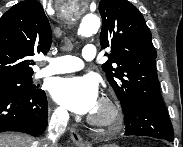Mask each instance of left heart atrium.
Returning a JSON list of instances; mask_svg holds the SVG:
<instances>
[{"label":"left heart atrium","instance_id":"obj_1","mask_svg":"<svg viewBox=\"0 0 183 147\" xmlns=\"http://www.w3.org/2000/svg\"><path fill=\"white\" fill-rule=\"evenodd\" d=\"M51 95L58 104L72 112L91 113L98 105V84L89 76L58 78L52 83Z\"/></svg>","mask_w":183,"mask_h":147}]
</instances>
